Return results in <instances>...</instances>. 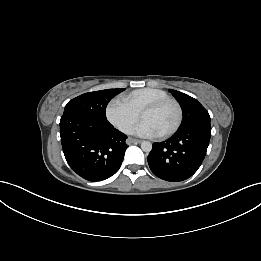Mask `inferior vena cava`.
Here are the masks:
<instances>
[{
	"instance_id": "1",
	"label": "inferior vena cava",
	"mask_w": 261,
	"mask_h": 261,
	"mask_svg": "<svg viewBox=\"0 0 261 261\" xmlns=\"http://www.w3.org/2000/svg\"><path fill=\"white\" fill-rule=\"evenodd\" d=\"M127 133H128V134H131V133H132V129L129 128V129L127 130Z\"/></svg>"
}]
</instances>
